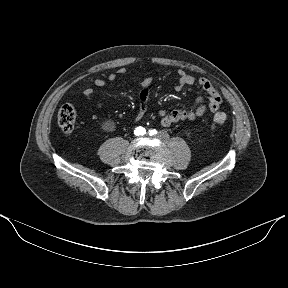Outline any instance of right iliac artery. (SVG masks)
I'll return each instance as SVG.
<instances>
[{"instance_id":"right-iliac-artery-1","label":"right iliac artery","mask_w":288,"mask_h":288,"mask_svg":"<svg viewBox=\"0 0 288 288\" xmlns=\"http://www.w3.org/2000/svg\"><path fill=\"white\" fill-rule=\"evenodd\" d=\"M146 132V130L143 128V127H137L135 130H134V134L135 135H144Z\"/></svg>"}]
</instances>
